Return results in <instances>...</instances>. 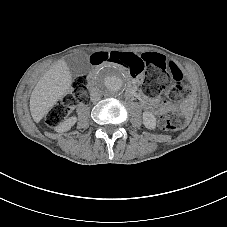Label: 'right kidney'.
Here are the masks:
<instances>
[{
    "mask_svg": "<svg viewBox=\"0 0 227 227\" xmlns=\"http://www.w3.org/2000/svg\"><path fill=\"white\" fill-rule=\"evenodd\" d=\"M76 122H77V117L72 116L66 119L65 121L59 123L56 127H54V130L58 133L67 132L71 129L72 126L75 125Z\"/></svg>",
    "mask_w": 227,
    "mask_h": 227,
    "instance_id": "right-kidney-1",
    "label": "right kidney"
}]
</instances>
